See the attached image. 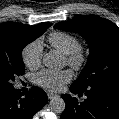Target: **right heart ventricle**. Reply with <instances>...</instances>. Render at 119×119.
<instances>
[{"label": "right heart ventricle", "mask_w": 119, "mask_h": 119, "mask_svg": "<svg viewBox=\"0 0 119 119\" xmlns=\"http://www.w3.org/2000/svg\"><path fill=\"white\" fill-rule=\"evenodd\" d=\"M48 41L53 48L63 55L69 54L79 46V41L75 36L63 31L51 33Z\"/></svg>", "instance_id": "1"}]
</instances>
